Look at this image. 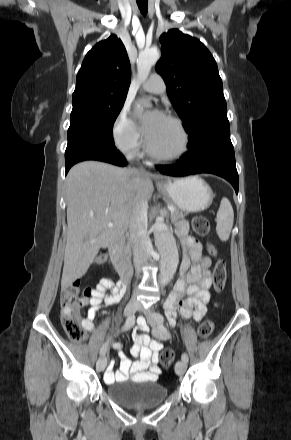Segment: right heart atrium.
Returning a JSON list of instances; mask_svg holds the SVG:
<instances>
[{"label": "right heart atrium", "instance_id": "right-heart-atrium-1", "mask_svg": "<svg viewBox=\"0 0 291 440\" xmlns=\"http://www.w3.org/2000/svg\"><path fill=\"white\" fill-rule=\"evenodd\" d=\"M112 132L118 150L127 156H133L137 153L141 144V136L134 120L129 115L127 105L121 108Z\"/></svg>", "mask_w": 291, "mask_h": 440}]
</instances>
